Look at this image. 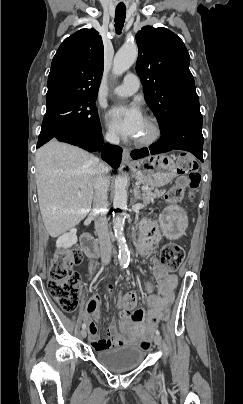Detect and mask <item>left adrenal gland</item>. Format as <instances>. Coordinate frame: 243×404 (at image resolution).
<instances>
[{
	"label": "left adrenal gland",
	"instance_id": "a2214340",
	"mask_svg": "<svg viewBox=\"0 0 243 404\" xmlns=\"http://www.w3.org/2000/svg\"><path fill=\"white\" fill-rule=\"evenodd\" d=\"M137 200H142V198L138 186H134V202H137Z\"/></svg>",
	"mask_w": 243,
	"mask_h": 404
}]
</instances>
